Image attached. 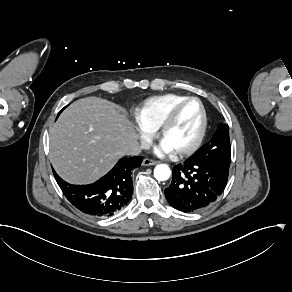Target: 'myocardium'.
<instances>
[{
	"mask_svg": "<svg viewBox=\"0 0 292 292\" xmlns=\"http://www.w3.org/2000/svg\"><path fill=\"white\" fill-rule=\"evenodd\" d=\"M189 102H196L200 109V119L199 124L197 127V130L192 138V140L184 147L181 148H173L177 153L179 154H189L192 153L197 149L199 144L202 141L205 128H206V111L204 108L203 103L200 99L196 97H187L179 102H177L175 105H173L165 117L163 118L160 126H159V136L164 140L166 131L168 130L171 123L175 120L180 110Z\"/></svg>",
	"mask_w": 292,
	"mask_h": 292,
	"instance_id": "obj_1",
	"label": "myocardium"
}]
</instances>
